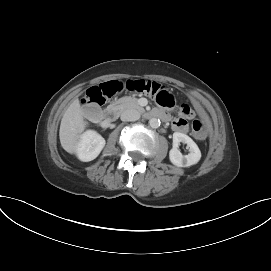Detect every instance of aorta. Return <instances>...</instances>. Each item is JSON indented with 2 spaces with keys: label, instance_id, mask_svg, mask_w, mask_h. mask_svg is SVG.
Listing matches in <instances>:
<instances>
[{
  "label": "aorta",
  "instance_id": "aorta-1",
  "mask_svg": "<svg viewBox=\"0 0 271 271\" xmlns=\"http://www.w3.org/2000/svg\"><path fill=\"white\" fill-rule=\"evenodd\" d=\"M149 125H150V127L156 129V128H158L160 126V120L157 119V118H151L149 120Z\"/></svg>",
  "mask_w": 271,
  "mask_h": 271
}]
</instances>
